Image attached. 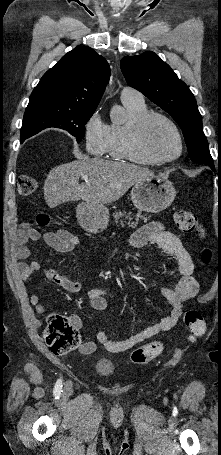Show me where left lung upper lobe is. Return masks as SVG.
Masks as SVG:
<instances>
[{
	"mask_svg": "<svg viewBox=\"0 0 221 455\" xmlns=\"http://www.w3.org/2000/svg\"><path fill=\"white\" fill-rule=\"evenodd\" d=\"M121 70L127 83L165 110L182 129L192 161L213 162L202 118L189 87L154 52L125 56Z\"/></svg>",
	"mask_w": 221,
	"mask_h": 455,
	"instance_id": "5c2ea615",
	"label": "left lung upper lobe"
}]
</instances>
